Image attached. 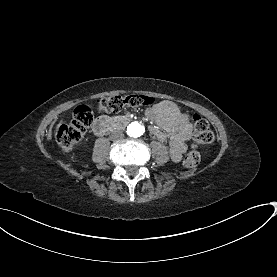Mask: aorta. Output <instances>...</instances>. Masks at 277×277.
<instances>
[{
    "mask_svg": "<svg viewBox=\"0 0 277 277\" xmlns=\"http://www.w3.org/2000/svg\"><path fill=\"white\" fill-rule=\"evenodd\" d=\"M144 126L139 122H132L127 127V134L132 138H137L144 133Z\"/></svg>",
    "mask_w": 277,
    "mask_h": 277,
    "instance_id": "obj_1",
    "label": "aorta"
}]
</instances>
